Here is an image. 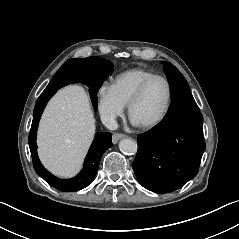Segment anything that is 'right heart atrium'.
<instances>
[{
  "mask_svg": "<svg viewBox=\"0 0 239 239\" xmlns=\"http://www.w3.org/2000/svg\"><path fill=\"white\" fill-rule=\"evenodd\" d=\"M98 111L106 123L114 122L121 116L125 106L117 99L110 85H101L97 90Z\"/></svg>",
  "mask_w": 239,
  "mask_h": 239,
  "instance_id": "obj_1",
  "label": "right heart atrium"
}]
</instances>
